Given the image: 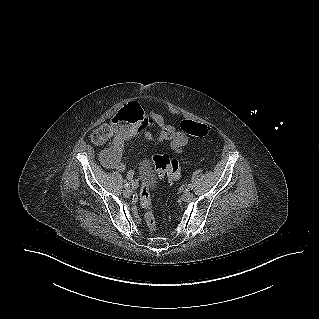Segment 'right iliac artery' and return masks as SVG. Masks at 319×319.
<instances>
[{
	"label": "right iliac artery",
	"mask_w": 319,
	"mask_h": 319,
	"mask_svg": "<svg viewBox=\"0 0 319 319\" xmlns=\"http://www.w3.org/2000/svg\"><path fill=\"white\" fill-rule=\"evenodd\" d=\"M124 188H125V189H126V188H130V184H128V183L124 184Z\"/></svg>",
	"instance_id": "1"
}]
</instances>
